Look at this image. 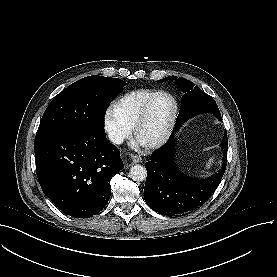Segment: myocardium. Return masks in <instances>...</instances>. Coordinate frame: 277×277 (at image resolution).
I'll list each match as a JSON object with an SVG mask.
<instances>
[{"mask_svg": "<svg viewBox=\"0 0 277 277\" xmlns=\"http://www.w3.org/2000/svg\"><path fill=\"white\" fill-rule=\"evenodd\" d=\"M159 95L166 96L167 98H169L172 101V103H173L172 117L170 119V123L168 125V128H167L166 132L164 133V135L161 138H159L156 141H152V142H144L139 137V129H140V126H141L142 122L145 119V116L147 114L148 108H149L152 100L156 96H159ZM177 115H178V104H177V101L175 100V98L171 94H169L168 92H165V91H156V92L152 93L148 97V99H147L140 115L138 116V118L135 122L134 129H133L134 142L137 143L143 149H146V150H151V149H155V148L160 147L161 145H163L169 139V137H170V135L173 131V128H174V125H175V122H176V119H177Z\"/></svg>", "mask_w": 277, "mask_h": 277, "instance_id": "obj_1", "label": "myocardium"}]
</instances>
